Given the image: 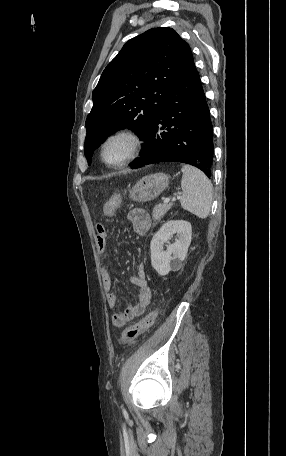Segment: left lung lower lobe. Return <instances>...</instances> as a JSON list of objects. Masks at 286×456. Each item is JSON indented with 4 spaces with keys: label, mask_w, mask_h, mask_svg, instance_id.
<instances>
[{
    "label": "left lung lower lobe",
    "mask_w": 286,
    "mask_h": 456,
    "mask_svg": "<svg viewBox=\"0 0 286 456\" xmlns=\"http://www.w3.org/2000/svg\"><path fill=\"white\" fill-rule=\"evenodd\" d=\"M132 169L157 162H182L211 176L213 127L194 61L172 86L144 138Z\"/></svg>",
    "instance_id": "obj_1"
}]
</instances>
